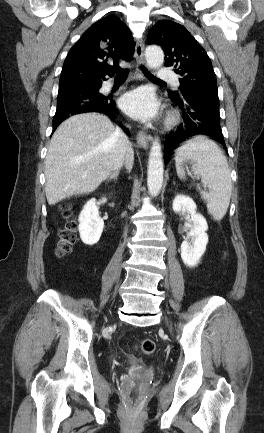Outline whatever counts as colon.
Segmentation results:
<instances>
[{"instance_id":"colon-1","label":"colon","mask_w":264,"mask_h":433,"mask_svg":"<svg viewBox=\"0 0 264 433\" xmlns=\"http://www.w3.org/2000/svg\"><path fill=\"white\" fill-rule=\"evenodd\" d=\"M62 215L65 219V223L62 228L58 231V243H57V255L63 256L71 251L73 245L77 239V223L72 216L70 206L63 204L61 207ZM138 349L146 355L154 353L156 344L152 339H144L139 345Z\"/></svg>"}]
</instances>
